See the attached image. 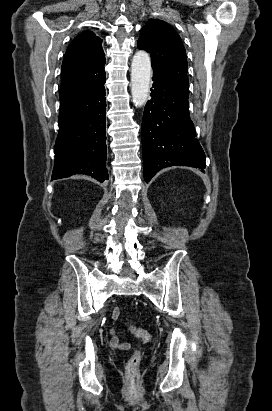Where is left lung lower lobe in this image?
<instances>
[{"instance_id":"1","label":"left lung lower lobe","mask_w":272,"mask_h":411,"mask_svg":"<svg viewBox=\"0 0 272 411\" xmlns=\"http://www.w3.org/2000/svg\"><path fill=\"white\" fill-rule=\"evenodd\" d=\"M151 99L141 125L144 180L162 168L183 165L205 168V154L196 139L188 110L189 92L153 73Z\"/></svg>"}]
</instances>
